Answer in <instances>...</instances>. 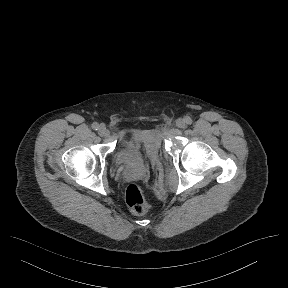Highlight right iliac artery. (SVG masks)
Segmentation results:
<instances>
[{
	"instance_id": "right-iliac-artery-1",
	"label": "right iliac artery",
	"mask_w": 288,
	"mask_h": 288,
	"mask_svg": "<svg viewBox=\"0 0 288 288\" xmlns=\"http://www.w3.org/2000/svg\"><path fill=\"white\" fill-rule=\"evenodd\" d=\"M92 128H93L94 130H98L99 124H98L97 122H94V123L92 124Z\"/></svg>"
}]
</instances>
